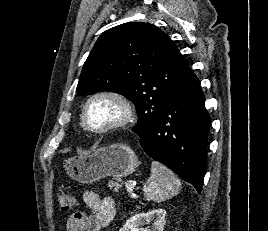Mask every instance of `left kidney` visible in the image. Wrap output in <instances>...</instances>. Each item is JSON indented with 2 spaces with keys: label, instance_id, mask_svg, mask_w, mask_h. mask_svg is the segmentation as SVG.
I'll return each instance as SVG.
<instances>
[{
  "label": "left kidney",
  "instance_id": "1",
  "mask_svg": "<svg viewBox=\"0 0 268 231\" xmlns=\"http://www.w3.org/2000/svg\"><path fill=\"white\" fill-rule=\"evenodd\" d=\"M166 210L156 209L147 213L135 214L126 221V224L119 231H139L144 224H149L153 221L151 226L146 227L143 231H163L166 223Z\"/></svg>",
  "mask_w": 268,
  "mask_h": 231
}]
</instances>
